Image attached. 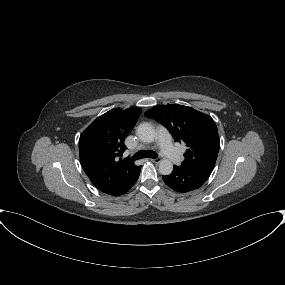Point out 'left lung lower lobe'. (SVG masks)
Instances as JSON below:
<instances>
[{"label": "left lung lower lobe", "mask_w": 285, "mask_h": 285, "mask_svg": "<svg viewBox=\"0 0 285 285\" xmlns=\"http://www.w3.org/2000/svg\"><path fill=\"white\" fill-rule=\"evenodd\" d=\"M212 168L192 167L184 168L174 165L170 175L162 176L165 184L181 193L199 188L209 178Z\"/></svg>", "instance_id": "left-lung-lower-lobe-1"}]
</instances>
